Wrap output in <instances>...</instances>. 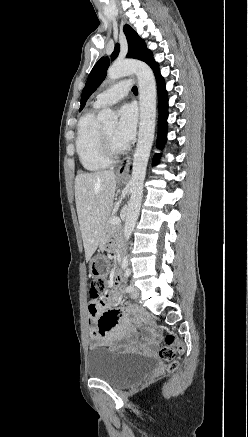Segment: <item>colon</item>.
<instances>
[{"mask_svg": "<svg viewBox=\"0 0 248 437\" xmlns=\"http://www.w3.org/2000/svg\"><path fill=\"white\" fill-rule=\"evenodd\" d=\"M110 287V280L95 279L94 276L90 279L89 293L93 300H101ZM165 344L159 348V355L165 362L168 363L169 371H174L178 367L177 355L183 352V345L174 334H167L164 337Z\"/></svg>", "mask_w": 248, "mask_h": 437, "instance_id": "colon-1", "label": "colon"}]
</instances>
